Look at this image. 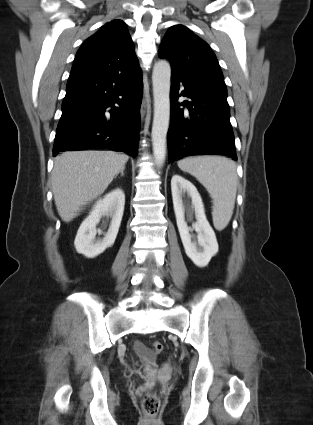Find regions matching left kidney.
<instances>
[{
  "label": "left kidney",
  "instance_id": "5707ae66",
  "mask_svg": "<svg viewBox=\"0 0 313 425\" xmlns=\"http://www.w3.org/2000/svg\"><path fill=\"white\" fill-rule=\"evenodd\" d=\"M171 191L177 227L187 256L193 263L200 267H206L211 258L218 252V243L215 233L206 219L204 205L197 188L180 175H174L171 179ZM187 195L191 198V206L188 209L189 215L194 212L196 222L193 228L198 233L197 242H192L190 228L185 221V206L183 197ZM199 246V249L198 247Z\"/></svg>",
  "mask_w": 313,
  "mask_h": 425
}]
</instances>
